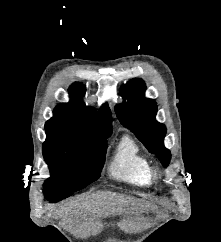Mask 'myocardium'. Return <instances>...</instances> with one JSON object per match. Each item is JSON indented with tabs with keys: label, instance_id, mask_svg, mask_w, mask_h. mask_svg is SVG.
<instances>
[{
	"label": "myocardium",
	"instance_id": "obj_1",
	"mask_svg": "<svg viewBox=\"0 0 221 242\" xmlns=\"http://www.w3.org/2000/svg\"><path fill=\"white\" fill-rule=\"evenodd\" d=\"M149 177H150L151 181L158 182L159 179H160V173H159V171L157 169L150 167Z\"/></svg>",
	"mask_w": 221,
	"mask_h": 242
}]
</instances>
